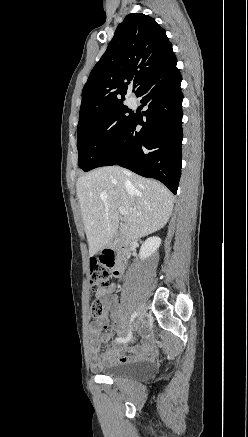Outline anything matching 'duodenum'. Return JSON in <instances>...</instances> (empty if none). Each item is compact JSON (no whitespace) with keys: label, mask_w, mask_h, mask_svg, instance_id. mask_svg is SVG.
<instances>
[{"label":"duodenum","mask_w":248,"mask_h":437,"mask_svg":"<svg viewBox=\"0 0 248 437\" xmlns=\"http://www.w3.org/2000/svg\"><path fill=\"white\" fill-rule=\"evenodd\" d=\"M129 253V246L125 238H120L113 244L106 246L105 248H98L95 251V254L98 257H108L113 265L118 263H122ZM115 275H118L119 272L116 270L114 272Z\"/></svg>","instance_id":"1"}]
</instances>
